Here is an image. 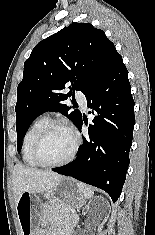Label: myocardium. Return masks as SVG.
Masks as SVG:
<instances>
[{"instance_id": "obj_1", "label": "myocardium", "mask_w": 155, "mask_h": 235, "mask_svg": "<svg viewBox=\"0 0 155 235\" xmlns=\"http://www.w3.org/2000/svg\"><path fill=\"white\" fill-rule=\"evenodd\" d=\"M58 127L66 129L72 135V137H73L72 150H71L70 154L65 159H63L59 162H54V163L45 162L40 157L41 145L43 144V142H44L45 138L47 137V135L49 134V132L51 130H53L54 128H58ZM79 146H80L79 134L70 124H68L67 122H65L63 120H52V121H49L45 125V127L40 131V133L38 134V136L34 142L33 148H32V156H33V159L36 161V163L40 166L49 167V168L60 167V166L66 165L74 160V158L76 157V154L78 152Z\"/></svg>"}]
</instances>
